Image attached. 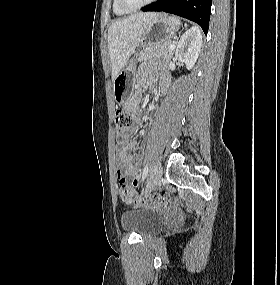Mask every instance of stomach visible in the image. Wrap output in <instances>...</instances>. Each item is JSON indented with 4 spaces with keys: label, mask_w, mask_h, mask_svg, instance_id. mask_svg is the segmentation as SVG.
<instances>
[{
    "label": "stomach",
    "mask_w": 280,
    "mask_h": 285,
    "mask_svg": "<svg viewBox=\"0 0 280 285\" xmlns=\"http://www.w3.org/2000/svg\"><path fill=\"white\" fill-rule=\"evenodd\" d=\"M177 30L178 25L170 17L158 14L148 23L138 46L146 48L162 41L170 40ZM135 61L136 59L133 57L113 81L114 99L118 104H126L132 98Z\"/></svg>",
    "instance_id": "1"
}]
</instances>
